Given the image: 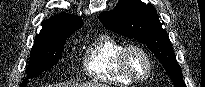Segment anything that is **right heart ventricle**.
Instances as JSON below:
<instances>
[{"mask_svg": "<svg viewBox=\"0 0 205 87\" xmlns=\"http://www.w3.org/2000/svg\"><path fill=\"white\" fill-rule=\"evenodd\" d=\"M124 44L110 35L97 36L85 49L83 65L88 77L96 82L129 85L130 79L119 70L117 56Z\"/></svg>", "mask_w": 205, "mask_h": 87, "instance_id": "1", "label": "right heart ventricle"}]
</instances>
